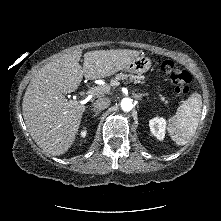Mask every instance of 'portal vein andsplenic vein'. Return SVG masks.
Here are the masks:
<instances>
[{
  "label": "portal vein and splenic vein",
  "instance_id": "obj_1",
  "mask_svg": "<svg viewBox=\"0 0 221 221\" xmlns=\"http://www.w3.org/2000/svg\"><path fill=\"white\" fill-rule=\"evenodd\" d=\"M118 84V83H117ZM108 89V87H102V88H98V87H96V88H92L88 93H87V99L90 97V95H92V94H94V93H96V92H99V91H105V90H107Z\"/></svg>",
  "mask_w": 221,
  "mask_h": 221
}]
</instances>
